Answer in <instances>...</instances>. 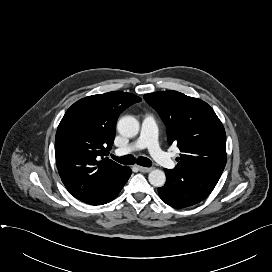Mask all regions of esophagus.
<instances>
[{
  "instance_id": "obj_1",
  "label": "esophagus",
  "mask_w": 272,
  "mask_h": 272,
  "mask_svg": "<svg viewBox=\"0 0 272 272\" xmlns=\"http://www.w3.org/2000/svg\"><path fill=\"white\" fill-rule=\"evenodd\" d=\"M138 169H139L140 172L147 173V172H150L153 168L152 167L138 166Z\"/></svg>"
}]
</instances>
